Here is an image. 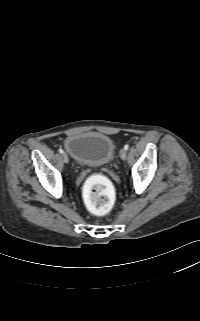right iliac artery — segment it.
I'll use <instances>...</instances> for the list:
<instances>
[{
    "instance_id": "1",
    "label": "right iliac artery",
    "mask_w": 200,
    "mask_h": 321,
    "mask_svg": "<svg viewBox=\"0 0 200 321\" xmlns=\"http://www.w3.org/2000/svg\"><path fill=\"white\" fill-rule=\"evenodd\" d=\"M59 152H60V153H63V149L60 148V149H59Z\"/></svg>"
}]
</instances>
